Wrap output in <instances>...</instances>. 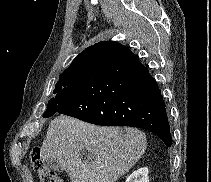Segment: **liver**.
<instances>
[{
	"label": "liver",
	"instance_id": "1",
	"mask_svg": "<svg viewBox=\"0 0 211 182\" xmlns=\"http://www.w3.org/2000/svg\"><path fill=\"white\" fill-rule=\"evenodd\" d=\"M146 135L135 128L99 127L68 116L49 124L41 157L58 161L72 182H115L144 154ZM82 151L92 158H83Z\"/></svg>",
	"mask_w": 211,
	"mask_h": 182
}]
</instances>
